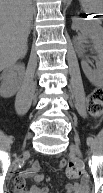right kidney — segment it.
Returning <instances> with one entry per match:
<instances>
[{"instance_id": "right-kidney-1", "label": "right kidney", "mask_w": 103, "mask_h": 193, "mask_svg": "<svg viewBox=\"0 0 103 193\" xmlns=\"http://www.w3.org/2000/svg\"><path fill=\"white\" fill-rule=\"evenodd\" d=\"M24 65H13L6 68L1 74L0 93L3 97L13 96L20 84L21 75L24 72Z\"/></svg>"}]
</instances>
